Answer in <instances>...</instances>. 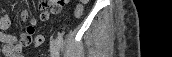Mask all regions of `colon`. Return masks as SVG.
Segmentation results:
<instances>
[{
	"instance_id": "1",
	"label": "colon",
	"mask_w": 172,
	"mask_h": 57,
	"mask_svg": "<svg viewBox=\"0 0 172 57\" xmlns=\"http://www.w3.org/2000/svg\"><path fill=\"white\" fill-rule=\"evenodd\" d=\"M87 0H81L80 3L78 4V6L75 9V16L79 17L83 11V4L86 3Z\"/></svg>"
}]
</instances>
